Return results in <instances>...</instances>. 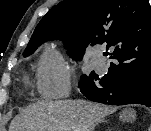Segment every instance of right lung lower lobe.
Listing matches in <instances>:
<instances>
[{"instance_id":"right-lung-lower-lobe-1","label":"right lung lower lobe","mask_w":151,"mask_h":131,"mask_svg":"<svg viewBox=\"0 0 151 131\" xmlns=\"http://www.w3.org/2000/svg\"><path fill=\"white\" fill-rule=\"evenodd\" d=\"M83 76L80 92L89 100L109 105L151 106V70L137 73H108L101 78Z\"/></svg>"}]
</instances>
